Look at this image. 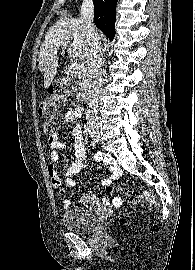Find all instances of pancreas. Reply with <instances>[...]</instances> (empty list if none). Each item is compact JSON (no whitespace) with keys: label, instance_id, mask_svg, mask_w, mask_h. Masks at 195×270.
<instances>
[{"label":"pancreas","instance_id":"cf45deb5","mask_svg":"<svg viewBox=\"0 0 195 270\" xmlns=\"http://www.w3.org/2000/svg\"><path fill=\"white\" fill-rule=\"evenodd\" d=\"M75 75H77L78 79L83 81V82L86 81V79H87L86 70L81 64H76Z\"/></svg>","mask_w":195,"mask_h":270}]
</instances>
